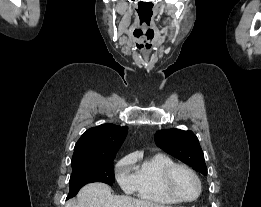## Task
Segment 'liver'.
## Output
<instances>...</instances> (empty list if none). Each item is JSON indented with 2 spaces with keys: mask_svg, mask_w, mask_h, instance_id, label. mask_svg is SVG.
Returning a JSON list of instances; mask_svg holds the SVG:
<instances>
[{
  "mask_svg": "<svg viewBox=\"0 0 261 207\" xmlns=\"http://www.w3.org/2000/svg\"><path fill=\"white\" fill-rule=\"evenodd\" d=\"M65 207H170L132 198L112 195L111 188L100 182L85 185L78 193L77 201L70 200Z\"/></svg>",
  "mask_w": 261,
  "mask_h": 207,
  "instance_id": "1",
  "label": "liver"
}]
</instances>
